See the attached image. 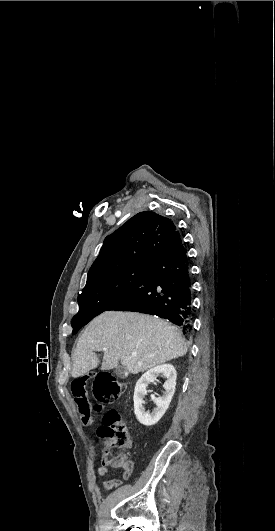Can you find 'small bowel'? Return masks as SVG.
Segmentation results:
<instances>
[{
    "label": "small bowel",
    "instance_id": "small-bowel-1",
    "mask_svg": "<svg viewBox=\"0 0 275 531\" xmlns=\"http://www.w3.org/2000/svg\"><path fill=\"white\" fill-rule=\"evenodd\" d=\"M120 458H122V459H129L128 456L125 455V454L122 455ZM109 473H110V472H109V469H106L105 465L102 466V467H100V468L98 469V471H97V474L100 475V476H104V475H107V474H109ZM122 476H123V477H127V479H128V478H130L131 475H122ZM102 487H103V489H105V490L115 489V488H108L106 481L103 482Z\"/></svg>",
    "mask_w": 275,
    "mask_h": 531
}]
</instances>
